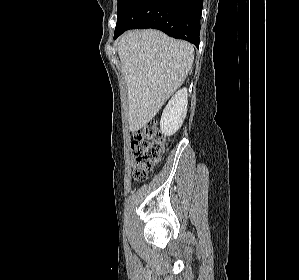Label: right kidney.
Wrapping results in <instances>:
<instances>
[{"label": "right kidney", "mask_w": 299, "mask_h": 280, "mask_svg": "<svg viewBox=\"0 0 299 280\" xmlns=\"http://www.w3.org/2000/svg\"><path fill=\"white\" fill-rule=\"evenodd\" d=\"M188 93L183 88L175 93L163 110L160 129L165 136L175 134L183 124L187 114Z\"/></svg>", "instance_id": "1"}]
</instances>
